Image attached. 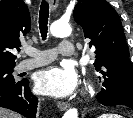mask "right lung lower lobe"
<instances>
[{
	"label": "right lung lower lobe",
	"instance_id": "right-lung-lower-lobe-1",
	"mask_svg": "<svg viewBox=\"0 0 133 118\" xmlns=\"http://www.w3.org/2000/svg\"><path fill=\"white\" fill-rule=\"evenodd\" d=\"M38 99L29 88V81L0 86V107L16 111L28 118H35Z\"/></svg>",
	"mask_w": 133,
	"mask_h": 118
}]
</instances>
